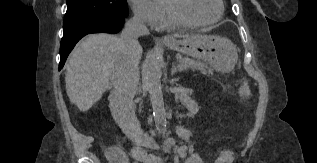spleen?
I'll return each mask as SVG.
<instances>
[{
  "instance_id": "3e777b00",
  "label": "spleen",
  "mask_w": 317,
  "mask_h": 163,
  "mask_svg": "<svg viewBox=\"0 0 317 163\" xmlns=\"http://www.w3.org/2000/svg\"><path fill=\"white\" fill-rule=\"evenodd\" d=\"M239 94L241 96H249L250 95V90L247 82H244L242 86L239 88Z\"/></svg>"
}]
</instances>
